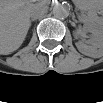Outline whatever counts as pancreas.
I'll list each match as a JSON object with an SVG mask.
<instances>
[{
    "instance_id": "pancreas-1",
    "label": "pancreas",
    "mask_w": 103,
    "mask_h": 103,
    "mask_svg": "<svg viewBox=\"0 0 103 103\" xmlns=\"http://www.w3.org/2000/svg\"><path fill=\"white\" fill-rule=\"evenodd\" d=\"M79 18H80L82 21H84V22H87V21H88V18H87L84 14H81V15L79 16Z\"/></svg>"
}]
</instances>
